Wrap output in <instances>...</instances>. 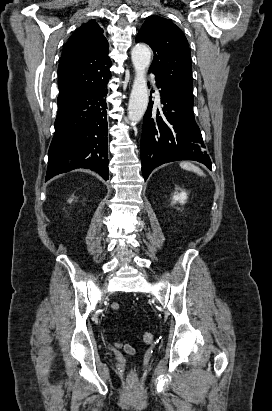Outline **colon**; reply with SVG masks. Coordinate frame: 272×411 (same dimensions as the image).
I'll return each mask as SVG.
<instances>
[{
	"mask_svg": "<svg viewBox=\"0 0 272 411\" xmlns=\"http://www.w3.org/2000/svg\"><path fill=\"white\" fill-rule=\"evenodd\" d=\"M154 340V334L152 332H145L143 334V341L145 343H151ZM129 383L131 385H136L137 384V375L135 372H131L129 375Z\"/></svg>",
	"mask_w": 272,
	"mask_h": 411,
	"instance_id": "5ec220e1",
	"label": "colon"
}]
</instances>
